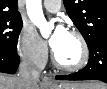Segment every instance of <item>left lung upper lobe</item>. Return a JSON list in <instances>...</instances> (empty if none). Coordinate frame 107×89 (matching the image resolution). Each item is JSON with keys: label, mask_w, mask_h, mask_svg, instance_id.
Here are the masks:
<instances>
[{"label": "left lung upper lobe", "mask_w": 107, "mask_h": 89, "mask_svg": "<svg viewBox=\"0 0 107 89\" xmlns=\"http://www.w3.org/2000/svg\"><path fill=\"white\" fill-rule=\"evenodd\" d=\"M67 14L87 45L107 36V0H63Z\"/></svg>", "instance_id": "left-lung-upper-lobe-1"}]
</instances>
